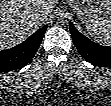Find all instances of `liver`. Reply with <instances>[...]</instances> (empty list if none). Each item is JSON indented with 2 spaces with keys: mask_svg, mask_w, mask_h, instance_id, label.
I'll use <instances>...</instances> for the list:
<instances>
[{
  "mask_svg": "<svg viewBox=\"0 0 111 106\" xmlns=\"http://www.w3.org/2000/svg\"><path fill=\"white\" fill-rule=\"evenodd\" d=\"M57 3L58 0H1V49L11 48L24 41L47 21Z\"/></svg>",
  "mask_w": 111,
  "mask_h": 106,
  "instance_id": "obj_1",
  "label": "liver"
}]
</instances>
